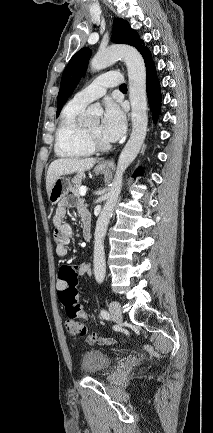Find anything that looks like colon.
Returning a JSON list of instances; mask_svg holds the SVG:
<instances>
[{"label": "colon", "instance_id": "colon-1", "mask_svg": "<svg viewBox=\"0 0 213 433\" xmlns=\"http://www.w3.org/2000/svg\"><path fill=\"white\" fill-rule=\"evenodd\" d=\"M59 280L64 283L63 289L58 291L59 299L66 311L64 326L67 334L71 337L84 336L86 328L79 320L88 315L82 305L78 302V273L73 266H62L59 271ZM89 316V315H88ZM96 333L91 334L93 340Z\"/></svg>", "mask_w": 213, "mask_h": 433}]
</instances>
